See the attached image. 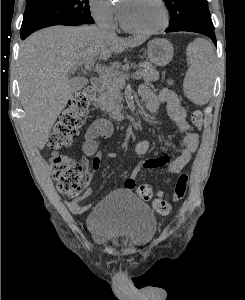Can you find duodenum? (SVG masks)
<instances>
[{"instance_id":"1","label":"duodenum","mask_w":245,"mask_h":300,"mask_svg":"<svg viewBox=\"0 0 245 300\" xmlns=\"http://www.w3.org/2000/svg\"><path fill=\"white\" fill-rule=\"evenodd\" d=\"M91 86L95 92V99H94L93 106H94V109L98 111V110H100V102H99L98 96L103 91L104 83L101 78L93 77L91 79Z\"/></svg>"}]
</instances>
